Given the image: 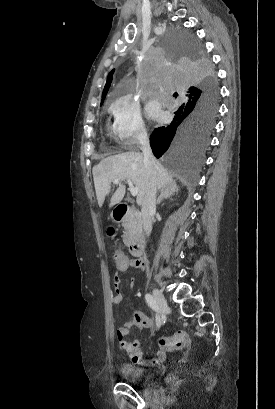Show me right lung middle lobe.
I'll return each mask as SVG.
<instances>
[{
	"label": "right lung middle lobe",
	"mask_w": 275,
	"mask_h": 409,
	"mask_svg": "<svg viewBox=\"0 0 275 409\" xmlns=\"http://www.w3.org/2000/svg\"><path fill=\"white\" fill-rule=\"evenodd\" d=\"M157 42L160 51H173L175 83L151 82V91L186 90L188 85H195L196 90L184 105H180V96L157 99L160 105H169L166 121L170 125L152 132V152L164 167L174 169L175 176L195 182V170L201 167L217 115L216 74L201 43L188 36L186 30H163Z\"/></svg>",
	"instance_id": "1"
}]
</instances>
